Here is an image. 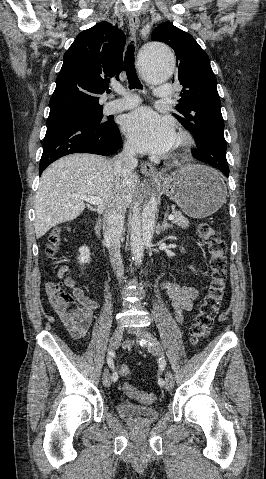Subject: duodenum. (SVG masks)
Listing matches in <instances>:
<instances>
[{
  "label": "duodenum",
  "mask_w": 266,
  "mask_h": 479,
  "mask_svg": "<svg viewBox=\"0 0 266 479\" xmlns=\"http://www.w3.org/2000/svg\"><path fill=\"white\" fill-rule=\"evenodd\" d=\"M102 227H103V221L101 218H99L97 220V224H96V228H95V231H96V235L100 238L102 236Z\"/></svg>",
  "instance_id": "410a0bca"
}]
</instances>
